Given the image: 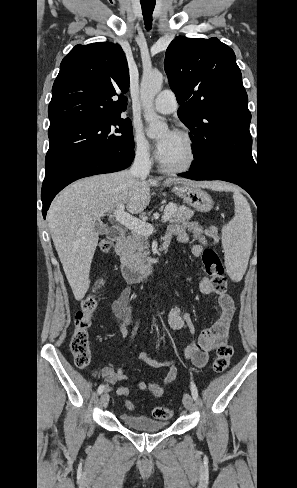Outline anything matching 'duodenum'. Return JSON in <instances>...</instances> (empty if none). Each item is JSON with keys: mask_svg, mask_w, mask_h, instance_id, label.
Returning <instances> with one entry per match:
<instances>
[{"mask_svg": "<svg viewBox=\"0 0 297 488\" xmlns=\"http://www.w3.org/2000/svg\"><path fill=\"white\" fill-rule=\"evenodd\" d=\"M108 237L117 249L121 251L125 240L124 229L119 226H112L109 230ZM120 269L123 278L128 283H138L145 280L153 272L154 262L149 261L140 266H134L125 257H121Z\"/></svg>", "mask_w": 297, "mask_h": 488, "instance_id": "obj_1", "label": "duodenum"}]
</instances>
